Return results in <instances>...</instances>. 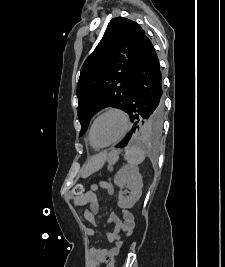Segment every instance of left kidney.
<instances>
[{
  "instance_id": "1",
  "label": "left kidney",
  "mask_w": 225,
  "mask_h": 267,
  "mask_svg": "<svg viewBox=\"0 0 225 267\" xmlns=\"http://www.w3.org/2000/svg\"><path fill=\"white\" fill-rule=\"evenodd\" d=\"M114 183L123 188L127 186L131 191L129 196H125L122 191H119L118 206L122 209L132 208L142 195V176L137 167L123 166L115 175Z\"/></svg>"
}]
</instances>
